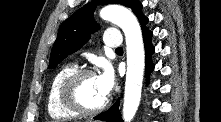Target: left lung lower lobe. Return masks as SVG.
<instances>
[{"label": "left lung lower lobe", "instance_id": "left-lung-lower-lobe-1", "mask_svg": "<svg viewBox=\"0 0 221 122\" xmlns=\"http://www.w3.org/2000/svg\"><path fill=\"white\" fill-rule=\"evenodd\" d=\"M132 10L137 16L142 28L145 54H146L145 71H146V80L148 84L149 75L154 69V64L152 63L151 60V55L154 53V47L151 44V37L153 36V33L145 26V24L148 22V18L144 16V14L142 13V4L139 1L136 2ZM119 105L120 102L118 99L110 109H108L106 112L100 115H97L96 117H94V119L105 120L107 122H122L119 113Z\"/></svg>", "mask_w": 221, "mask_h": 122}]
</instances>
